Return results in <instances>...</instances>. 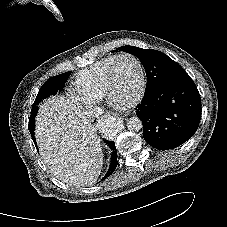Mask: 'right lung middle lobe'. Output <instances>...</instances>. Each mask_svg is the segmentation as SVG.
<instances>
[{
    "instance_id": "obj_1",
    "label": "right lung middle lobe",
    "mask_w": 227,
    "mask_h": 227,
    "mask_svg": "<svg viewBox=\"0 0 227 227\" xmlns=\"http://www.w3.org/2000/svg\"><path fill=\"white\" fill-rule=\"evenodd\" d=\"M71 74V71H68L66 73L57 75L55 77L49 78L40 88L38 95L34 101V104L31 109V115L29 119V126L28 129L30 130V134L32 136V139L34 141V144L36 146V140H35V116L37 114L38 109L36 106L45 98L49 97L50 95L57 94L58 91H61L64 87L65 82L67 81L69 75ZM37 147V146H36Z\"/></svg>"
}]
</instances>
